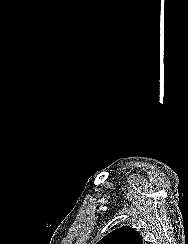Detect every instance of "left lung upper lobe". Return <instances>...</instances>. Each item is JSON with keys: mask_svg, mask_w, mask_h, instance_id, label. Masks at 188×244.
Here are the masks:
<instances>
[{"mask_svg": "<svg viewBox=\"0 0 188 244\" xmlns=\"http://www.w3.org/2000/svg\"><path fill=\"white\" fill-rule=\"evenodd\" d=\"M97 244H143L141 235L129 226L115 229Z\"/></svg>", "mask_w": 188, "mask_h": 244, "instance_id": "1", "label": "left lung upper lobe"}]
</instances>
